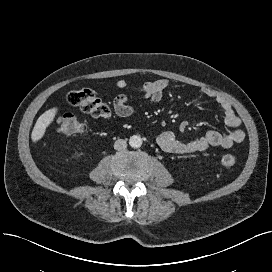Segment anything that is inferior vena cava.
I'll return each mask as SVG.
<instances>
[{
    "label": "inferior vena cava",
    "instance_id": "inferior-vena-cava-1",
    "mask_svg": "<svg viewBox=\"0 0 272 272\" xmlns=\"http://www.w3.org/2000/svg\"><path fill=\"white\" fill-rule=\"evenodd\" d=\"M114 148L118 151L120 150H124L127 148V143L125 140L123 139H118L117 141H115L114 143Z\"/></svg>",
    "mask_w": 272,
    "mask_h": 272
}]
</instances>
